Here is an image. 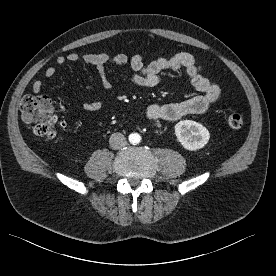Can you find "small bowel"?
<instances>
[{"mask_svg":"<svg viewBox=\"0 0 276 276\" xmlns=\"http://www.w3.org/2000/svg\"><path fill=\"white\" fill-rule=\"evenodd\" d=\"M84 61L96 67L102 85L107 92H111L113 85L106 73L108 65L123 66L129 65L135 72L132 76V83L143 88H152L159 84L161 74L168 70H183L191 80L193 87L200 93L190 99L172 104H152L146 109V116L150 120H176L185 115L199 114L206 112L210 106L219 98L220 87L206 78L202 74V67L196 62L194 57L186 52H179L171 56H161L146 64L140 55L128 57L126 54L119 53L110 55L108 53H86L80 55L76 52L58 56L55 60L56 65L63 66L66 63ZM57 73V67L48 66L44 74L51 78ZM43 89V82L37 79L32 84L34 93H40ZM104 101H85L82 106L87 111H94L102 108Z\"/></svg>","mask_w":276,"mask_h":276,"instance_id":"small-bowel-1","label":"small bowel"}]
</instances>
